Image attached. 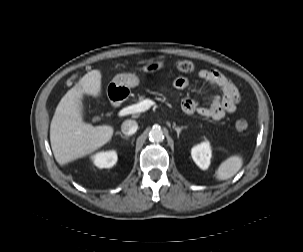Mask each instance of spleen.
<instances>
[{
	"label": "spleen",
	"instance_id": "obj_1",
	"mask_svg": "<svg viewBox=\"0 0 303 252\" xmlns=\"http://www.w3.org/2000/svg\"><path fill=\"white\" fill-rule=\"evenodd\" d=\"M243 159L239 155H233L224 160L215 172V178L223 181L232 178L242 167Z\"/></svg>",
	"mask_w": 303,
	"mask_h": 252
}]
</instances>
